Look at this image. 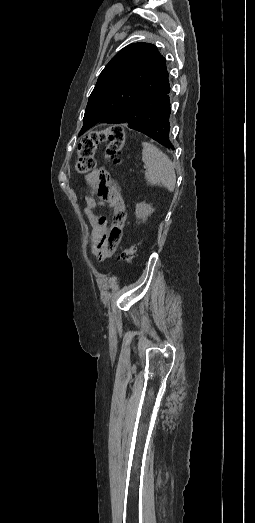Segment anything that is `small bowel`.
Here are the masks:
<instances>
[{
  "label": "small bowel",
  "mask_w": 255,
  "mask_h": 523,
  "mask_svg": "<svg viewBox=\"0 0 255 523\" xmlns=\"http://www.w3.org/2000/svg\"><path fill=\"white\" fill-rule=\"evenodd\" d=\"M86 181L92 190L84 197V213L92 227L91 252L98 261H105L120 243L127 219L126 207L117 183L105 169L93 170L86 176ZM103 205L113 210L110 227L106 218L96 213V209Z\"/></svg>",
  "instance_id": "c3829d8e"
}]
</instances>
